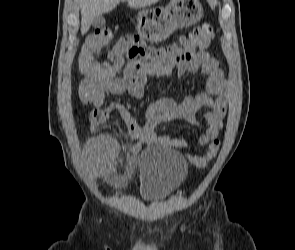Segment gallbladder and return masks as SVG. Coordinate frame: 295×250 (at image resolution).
I'll use <instances>...</instances> for the list:
<instances>
[{"label": "gallbladder", "instance_id": "gallbladder-1", "mask_svg": "<svg viewBox=\"0 0 295 250\" xmlns=\"http://www.w3.org/2000/svg\"><path fill=\"white\" fill-rule=\"evenodd\" d=\"M105 23V18L101 15L93 19L92 26L94 28H103L105 26Z\"/></svg>", "mask_w": 295, "mask_h": 250}]
</instances>
